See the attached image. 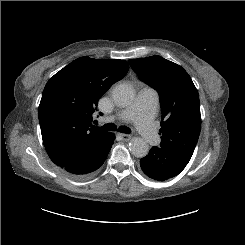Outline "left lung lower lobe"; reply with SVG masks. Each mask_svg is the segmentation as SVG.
<instances>
[{
  "label": "left lung lower lobe",
  "mask_w": 245,
  "mask_h": 245,
  "mask_svg": "<svg viewBox=\"0 0 245 245\" xmlns=\"http://www.w3.org/2000/svg\"><path fill=\"white\" fill-rule=\"evenodd\" d=\"M186 165L187 163L161 147H152L148 155L140 160L142 171L158 181L177 176Z\"/></svg>",
  "instance_id": "1"
}]
</instances>
